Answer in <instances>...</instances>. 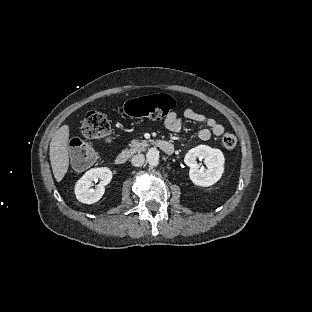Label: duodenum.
Instances as JSON below:
<instances>
[{
    "instance_id": "1",
    "label": "duodenum",
    "mask_w": 312,
    "mask_h": 312,
    "mask_svg": "<svg viewBox=\"0 0 312 312\" xmlns=\"http://www.w3.org/2000/svg\"><path fill=\"white\" fill-rule=\"evenodd\" d=\"M152 143L159 147L164 153L168 154V155H173L176 152V147L175 145L165 139H155L152 141ZM132 154V150L131 149H126L123 150L122 152H120L116 158H115V162L117 165H123L131 156Z\"/></svg>"
}]
</instances>
